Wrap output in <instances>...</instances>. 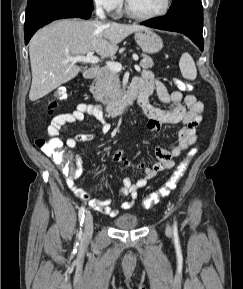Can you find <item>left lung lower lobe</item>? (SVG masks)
<instances>
[{"label":"left lung lower lobe","mask_w":243,"mask_h":289,"mask_svg":"<svg viewBox=\"0 0 243 289\" xmlns=\"http://www.w3.org/2000/svg\"><path fill=\"white\" fill-rule=\"evenodd\" d=\"M141 24L183 33L203 51V7L201 0H173L164 17L147 20Z\"/></svg>","instance_id":"1"}]
</instances>
